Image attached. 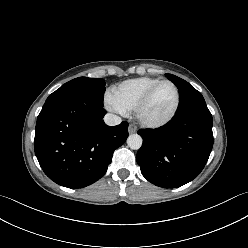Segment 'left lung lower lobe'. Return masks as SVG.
Returning a JSON list of instances; mask_svg holds the SVG:
<instances>
[{
    "mask_svg": "<svg viewBox=\"0 0 248 248\" xmlns=\"http://www.w3.org/2000/svg\"><path fill=\"white\" fill-rule=\"evenodd\" d=\"M212 115L205 101L176 112L157 129H142L137 163L143 176L163 188L180 187L203 170L213 146Z\"/></svg>",
    "mask_w": 248,
    "mask_h": 248,
    "instance_id": "1",
    "label": "left lung lower lobe"
}]
</instances>
